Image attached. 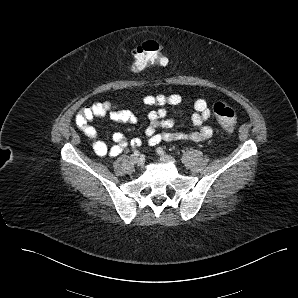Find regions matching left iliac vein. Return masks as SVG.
I'll use <instances>...</instances> for the list:
<instances>
[{"mask_svg": "<svg viewBox=\"0 0 298 298\" xmlns=\"http://www.w3.org/2000/svg\"><path fill=\"white\" fill-rule=\"evenodd\" d=\"M160 159L165 163H175V159L169 155H161Z\"/></svg>", "mask_w": 298, "mask_h": 298, "instance_id": "1", "label": "left iliac vein"}]
</instances>
